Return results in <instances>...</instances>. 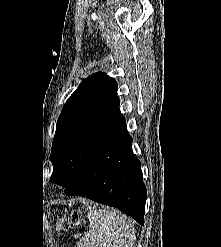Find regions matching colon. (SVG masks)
Segmentation results:
<instances>
[{
  "mask_svg": "<svg viewBox=\"0 0 221 247\" xmlns=\"http://www.w3.org/2000/svg\"><path fill=\"white\" fill-rule=\"evenodd\" d=\"M80 219L78 217V214L76 212L72 213L71 215L67 216L64 213H61L59 215V227L60 228H66L70 225H79Z\"/></svg>",
  "mask_w": 221,
  "mask_h": 247,
  "instance_id": "5ec220e1",
  "label": "colon"
}]
</instances>
